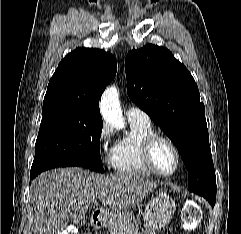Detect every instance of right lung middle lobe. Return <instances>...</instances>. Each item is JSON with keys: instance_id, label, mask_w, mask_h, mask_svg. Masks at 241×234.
<instances>
[{"instance_id": "dd1d6c3e", "label": "right lung middle lobe", "mask_w": 241, "mask_h": 234, "mask_svg": "<svg viewBox=\"0 0 241 234\" xmlns=\"http://www.w3.org/2000/svg\"><path fill=\"white\" fill-rule=\"evenodd\" d=\"M42 113L32 168L51 159H67L104 172L100 156L102 120L85 118L77 110L65 107L42 109Z\"/></svg>"}]
</instances>
